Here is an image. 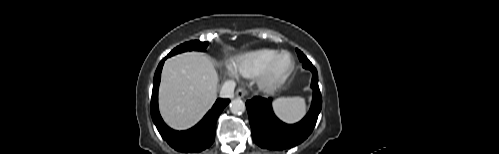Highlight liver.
Returning a JSON list of instances; mask_svg holds the SVG:
<instances>
[{
	"instance_id": "obj_1",
	"label": "liver",
	"mask_w": 499,
	"mask_h": 154,
	"mask_svg": "<svg viewBox=\"0 0 499 154\" xmlns=\"http://www.w3.org/2000/svg\"><path fill=\"white\" fill-rule=\"evenodd\" d=\"M218 74L200 52H186L166 60L159 89L165 122L177 130L194 126L217 98Z\"/></svg>"
}]
</instances>
